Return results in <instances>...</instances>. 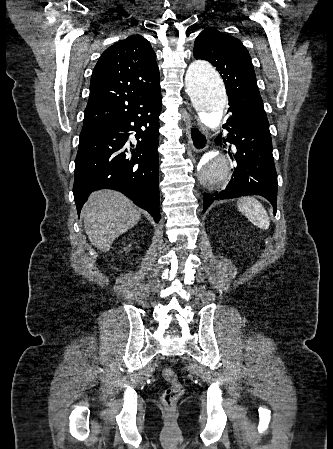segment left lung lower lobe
<instances>
[{
  "instance_id": "obj_1",
  "label": "left lung lower lobe",
  "mask_w": 333,
  "mask_h": 449,
  "mask_svg": "<svg viewBox=\"0 0 333 449\" xmlns=\"http://www.w3.org/2000/svg\"><path fill=\"white\" fill-rule=\"evenodd\" d=\"M230 116L223 126L227 141L235 145L234 172L226 189L204 193L203 213L214 200L245 195H261L271 202L276 213L277 173L272 155V140L267 117L229 102Z\"/></svg>"
}]
</instances>
